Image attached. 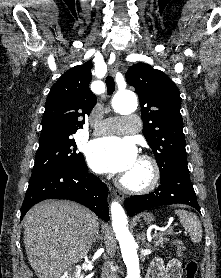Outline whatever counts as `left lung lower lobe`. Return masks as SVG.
I'll list each match as a JSON object with an SVG mask.
<instances>
[{
	"instance_id": "1",
	"label": "left lung lower lobe",
	"mask_w": 221,
	"mask_h": 278,
	"mask_svg": "<svg viewBox=\"0 0 221 278\" xmlns=\"http://www.w3.org/2000/svg\"><path fill=\"white\" fill-rule=\"evenodd\" d=\"M160 186L146 195L130 196L125 201L129 216L153 207L169 204H186L200 211L196 193L190 181L187 165H180L160 177Z\"/></svg>"
}]
</instances>
